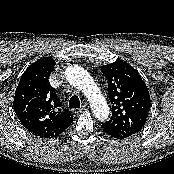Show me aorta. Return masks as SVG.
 Returning a JSON list of instances; mask_svg holds the SVG:
<instances>
[{
    "label": "aorta",
    "instance_id": "1",
    "mask_svg": "<svg viewBox=\"0 0 174 174\" xmlns=\"http://www.w3.org/2000/svg\"><path fill=\"white\" fill-rule=\"evenodd\" d=\"M66 80L80 89L88 98L91 109L98 120L104 121L109 117V106L99 87L90 74L81 66L70 65L65 71Z\"/></svg>",
    "mask_w": 174,
    "mask_h": 174
}]
</instances>
